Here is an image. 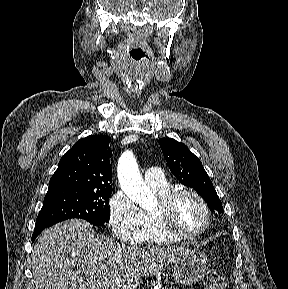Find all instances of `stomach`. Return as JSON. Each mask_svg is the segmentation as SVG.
Returning <instances> with one entry per match:
<instances>
[{
    "mask_svg": "<svg viewBox=\"0 0 288 289\" xmlns=\"http://www.w3.org/2000/svg\"><path fill=\"white\" fill-rule=\"evenodd\" d=\"M209 266L207 255L196 249L187 252L173 262L172 273L176 283L191 286L200 281Z\"/></svg>",
    "mask_w": 288,
    "mask_h": 289,
    "instance_id": "stomach-1",
    "label": "stomach"
}]
</instances>
